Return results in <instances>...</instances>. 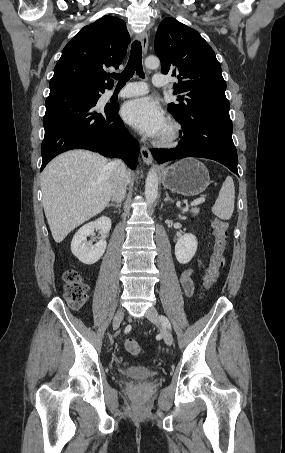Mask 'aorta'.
I'll return each instance as SVG.
<instances>
[{
	"instance_id": "762f6f07",
	"label": "aorta",
	"mask_w": 285,
	"mask_h": 453,
	"mask_svg": "<svg viewBox=\"0 0 285 453\" xmlns=\"http://www.w3.org/2000/svg\"><path fill=\"white\" fill-rule=\"evenodd\" d=\"M160 65V60L157 57L149 56L145 59V66L148 69H156ZM158 196V175L154 170L147 174L145 183V198L148 203H153Z\"/></svg>"
}]
</instances>
